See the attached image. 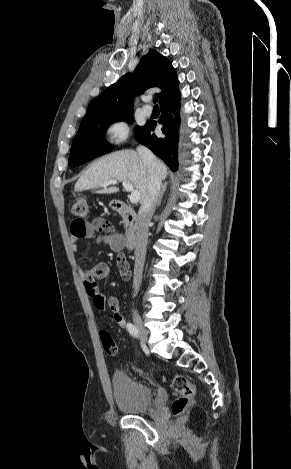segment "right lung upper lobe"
<instances>
[{"mask_svg":"<svg viewBox=\"0 0 291 469\" xmlns=\"http://www.w3.org/2000/svg\"><path fill=\"white\" fill-rule=\"evenodd\" d=\"M178 84L175 69L169 60L156 50H150L140 60L133 77L131 74L124 75L89 104L82 121L133 112L135 95L152 87L162 89L158 94L161 103L179 90Z\"/></svg>","mask_w":291,"mask_h":469,"instance_id":"cb5924a9","label":"right lung upper lobe"}]
</instances>
